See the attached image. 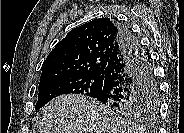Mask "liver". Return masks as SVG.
Listing matches in <instances>:
<instances>
[{
  "instance_id": "6515ba94",
  "label": "liver",
  "mask_w": 184,
  "mask_h": 133,
  "mask_svg": "<svg viewBox=\"0 0 184 133\" xmlns=\"http://www.w3.org/2000/svg\"><path fill=\"white\" fill-rule=\"evenodd\" d=\"M39 133H143L141 127L112 114L104 104L82 95H61L37 115Z\"/></svg>"
}]
</instances>
